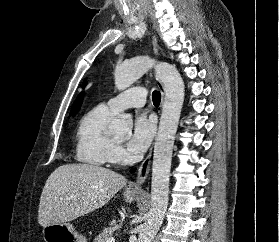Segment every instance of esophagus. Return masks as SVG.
I'll list each match as a JSON object with an SVG mask.
<instances>
[{"label":"esophagus","mask_w":279,"mask_h":242,"mask_svg":"<svg viewBox=\"0 0 279 242\" xmlns=\"http://www.w3.org/2000/svg\"><path fill=\"white\" fill-rule=\"evenodd\" d=\"M153 45L155 53L158 54V42L156 36H153ZM156 83L161 91L162 94V101L164 100L165 95V89L160 81V79L156 76L155 77ZM150 159H151V152L148 154V156L144 159V161L141 163L139 169L136 181L133 183H130L127 190L131 192H141L142 191V185L145 182L148 173H149V166H150Z\"/></svg>","instance_id":"obj_1"}]
</instances>
